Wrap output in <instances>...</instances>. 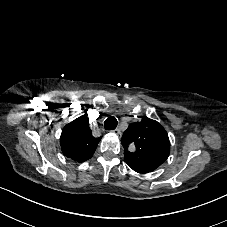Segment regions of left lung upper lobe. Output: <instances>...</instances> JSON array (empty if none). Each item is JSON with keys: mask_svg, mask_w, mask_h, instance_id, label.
<instances>
[{"mask_svg": "<svg viewBox=\"0 0 227 227\" xmlns=\"http://www.w3.org/2000/svg\"><path fill=\"white\" fill-rule=\"evenodd\" d=\"M126 163L136 172L148 173L159 167L169 156V137L157 121L143 117L131 123L122 136ZM134 142L136 151L128 145Z\"/></svg>", "mask_w": 227, "mask_h": 227, "instance_id": "5c2ea615", "label": "left lung upper lobe"}]
</instances>
